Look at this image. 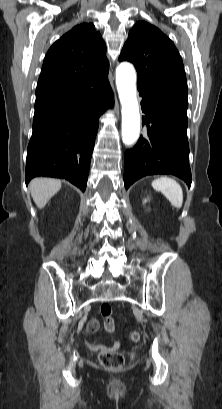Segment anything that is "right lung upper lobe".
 <instances>
[{"mask_svg": "<svg viewBox=\"0 0 222 409\" xmlns=\"http://www.w3.org/2000/svg\"><path fill=\"white\" fill-rule=\"evenodd\" d=\"M106 45L92 23H83L47 52L36 89L35 107L84 93L90 80L108 74Z\"/></svg>", "mask_w": 222, "mask_h": 409, "instance_id": "1", "label": "right lung upper lobe"}]
</instances>
